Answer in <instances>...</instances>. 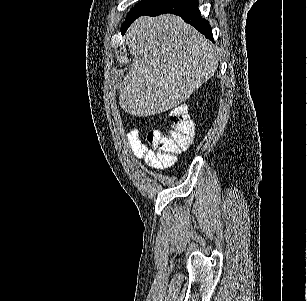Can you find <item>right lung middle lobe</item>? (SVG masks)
I'll return each instance as SVG.
<instances>
[{"instance_id":"dd1d6c3e","label":"right lung middle lobe","mask_w":307,"mask_h":301,"mask_svg":"<svg viewBox=\"0 0 307 301\" xmlns=\"http://www.w3.org/2000/svg\"><path fill=\"white\" fill-rule=\"evenodd\" d=\"M161 0H142L138 4L135 5L134 8L130 10L127 14L126 20L121 27L122 34L125 33L130 24L137 19L141 14L150 9L152 6L160 2Z\"/></svg>"}]
</instances>
